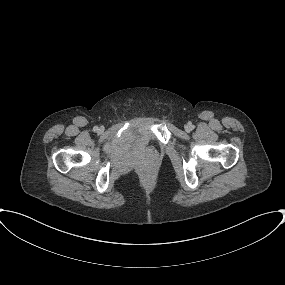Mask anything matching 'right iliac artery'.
Wrapping results in <instances>:
<instances>
[{"instance_id": "1", "label": "right iliac artery", "mask_w": 285, "mask_h": 285, "mask_svg": "<svg viewBox=\"0 0 285 285\" xmlns=\"http://www.w3.org/2000/svg\"><path fill=\"white\" fill-rule=\"evenodd\" d=\"M93 130H94L95 132H97L99 129H98L97 126H95V127L93 128Z\"/></svg>"}]
</instances>
